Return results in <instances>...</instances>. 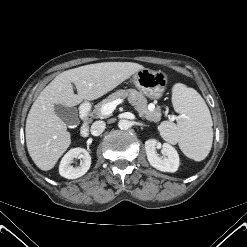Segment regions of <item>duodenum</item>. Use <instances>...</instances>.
I'll use <instances>...</instances> for the list:
<instances>
[{
  "label": "duodenum",
  "instance_id": "1",
  "mask_svg": "<svg viewBox=\"0 0 247 247\" xmlns=\"http://www.w3.org/2000/svg\"><path fill=\"white\" fill-rule=\"evenodd\" d=\"M90 111H91V107L88 103H84L80 106V119H81L80 133L83 137H87L89 135Z\"/></svg>",
  "mask_w": 247,
  "mask_h": 247
}]
</instances>
